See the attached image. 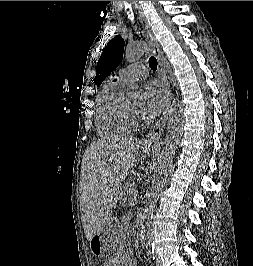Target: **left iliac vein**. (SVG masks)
Segmentation results:
<instances>
[{
  "mask_svg": "<svg viewBox=\"0 0 253 266\" xmlns=\"http://www.w3.org/2000/svg\"><path fill=\"white\" fill-rule=\"evenodd\" d=\"M156 264L157 266H161V260L158 255H156Z\"/></svg>",
  "mask_w": 253,
  "mask_h": 266,
  "instance_id": "obj_1",
  "label": "left iliac vein"
}]
</instances>
